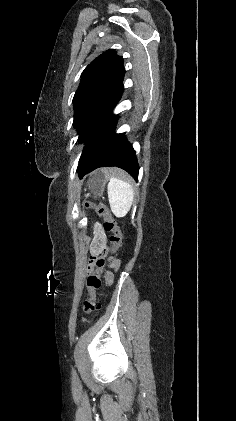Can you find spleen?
I'll use <instances>...</instances> for the list:
<instances>
[{
	"mask_svg": "<svg viewBox=\"0 0 236 421\" xmlns=\"http://www.w3.org/2000/svg\"><path fill=\"white\" fill-rule=\"evenodd\" d=\"M107 192L111 211L115 217H126L132 206L134 190L130 182L110 176Z\"/></svg>",
	"mask_w": 236,
	"mask_h": 421,
	"instance_id": "obj_1",
	"label": "spleen"
}]
</instances>
